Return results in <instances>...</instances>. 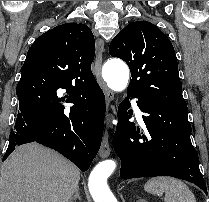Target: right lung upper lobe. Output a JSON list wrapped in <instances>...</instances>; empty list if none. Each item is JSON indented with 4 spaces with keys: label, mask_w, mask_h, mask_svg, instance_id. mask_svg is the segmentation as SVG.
I'll use <instances>...</instances> for the list:
<instances>
[{
    "label": "right lung upper lobe",
    "mask_w": 209,
    "mask_h": 202,
    "mask_svg": "<svg viewBox=\"0 0 209 202\" xmlns=\"http://www.w3.org/2000/svg\"><path fill=\"white\" fill-rule=\"evenodd\" d=\"M95 41L88 26L65 23L45 32L27 52L21 76L50 75L74 88L96 83L91 72Z\"/></svg>",
    "instance_id": "right-lung-upper-lobe-1"
}]
</instances>
